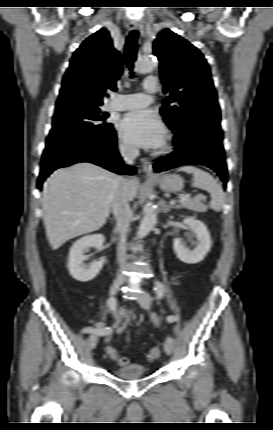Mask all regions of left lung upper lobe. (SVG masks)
Returning <instances> with one entry per match:
<instances>
[{
  "mask_svg": "<svg viewBox=\"0 0 273 430\" xmlns=\"http://www.w3.org/2000/svg\"><path fill=\"white\" fill-rule=\"evenodd\" d=\"M153 52L160 61L164 92L161 114L175 134L196 123L203 115L220 120L210 68L202 53L173 31L157 36Z\"/></svg>",
  "mask_w": 273,
  "mask_h": 430,
  "instance_id": "left-lung-upper-lobe-1",
  "label": "left lung upper lobe"
}]
</instances>
